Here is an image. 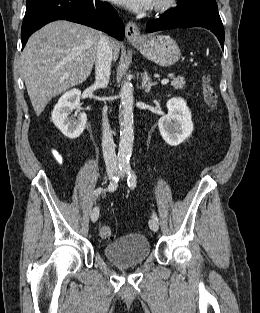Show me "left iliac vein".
<instances>
[{"label":"left iliac vein","mask_w":260,"mask_h":313,"mask_svg":"<svg viewBox=\"0 0 260 313\" xmlns=\"http://www.w3.org/2000/svg\"><path fill=\"white\" fill-rule=\"evenodd\" d=\"M120 176L123 177L124 173H121ZM148 224H149V227L152 231H154V232L158 231L159 225H158V222H156L154 219H150Z\"/></svg>","instance_id":"1"}]
</instances>
